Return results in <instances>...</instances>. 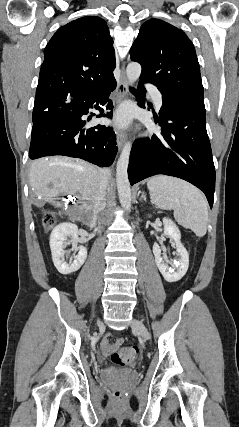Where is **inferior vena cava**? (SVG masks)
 Segmentation results:
<instances>
[{"label":"inferior vena cava","instance_id":"602c4592","mask_svg":"<svg viewBox=\"0 0 239 427\" xmlns=\"http://www.w3.org/2000/svg\"><path fill=\"white\" fill-rule=\"evenodd\" d=\"M111 176V171L108 168L100 169L98 190L95 196V218L102 214L106 206V190L108 181Z\"/></svg>","mask_w":239,"mask_h":427}]
</instances>
